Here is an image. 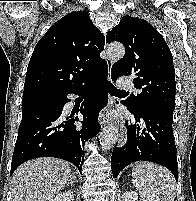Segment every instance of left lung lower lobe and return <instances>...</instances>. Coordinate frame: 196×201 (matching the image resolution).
<instances>
[{"mask_svg": "<svg viewBox=\"0 0 196 201\" xmlns=\"http://www.w3.org/2000/svg\"><path fill=\"white\" fill-rule=\"evenodd\" d=\"M130 112L135 117V123L128 126L126 122L127 141L123 147L112 152L113 176L117 177L132 162L144 160L167 167L178 180L177 149L172 131L173 111L157 105H145L137 112Z\"/></svg>", "mask_w": 196, "mask_h": 201, "instance_id": "0a47b994", "label": "left lung lower lobe"}]
</instances>
